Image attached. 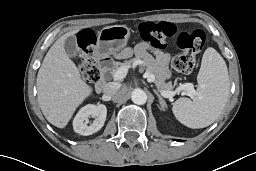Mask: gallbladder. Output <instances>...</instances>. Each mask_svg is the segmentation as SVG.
<instances>
[{"mask_svg":"<svg viewBox=\"0 0 256 171\" xmlns=\"http://www.w3.org/2000/svg\"><path fill=\"white\" fill-rule=\"evenodd\" d=\"M64 50L71 58L76 57L79 48L77 46L76 37L74 35L69 36L64 42Z\"/></svg>","mask_w":256,"mask_h":171,"instance_id":"obj_1","label":"gallbladder"}]
</instances>
